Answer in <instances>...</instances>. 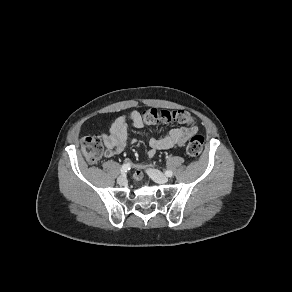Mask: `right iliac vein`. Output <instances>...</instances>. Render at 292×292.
<instances>
[{
    "mask_svg": "<svg viewBox=\"0 0 292 292\" xmlns=\"http://www.w3.org/2000/svg\"><path fill=\"white\" fill-rule=\"evenodd\" d=\"M117 183H118L119 185H125V184L127 183V178H126V176H125V175H122V176L118 177V179H117Z\"/></svg>",
    "mask_w": 292,
    "mask_h": 292,
    "instance_id": "right-iliac-vein-1",
    "label": "right iliac vein"
}]
</instances>
